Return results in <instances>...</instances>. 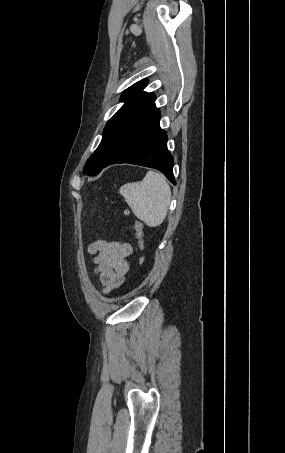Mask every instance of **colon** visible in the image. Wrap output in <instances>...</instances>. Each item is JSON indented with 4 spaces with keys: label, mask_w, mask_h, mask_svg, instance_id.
Masks as SVG:
<instances>
[{
    "label": "colon",
    "mask_w": 285,
    "mask_h": 453,
    "mask_svg": "<svg viewBox=\"0 0 285 453\" xmlns=\"http://www.w3.org/2000/svg\"><path fill=\"white\" fill-rule=\"evenodd\" d=\"M132 228H133L134 235L137 240L140 251H144V249H145V232H144L143 224L140 221H134ZM143 260H144V258L141 257L140 262H143Z\"/></svg>",
    "instance_id": "1"
}]
</instances>
